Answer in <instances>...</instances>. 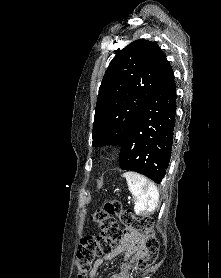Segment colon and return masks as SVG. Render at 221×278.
<instances>
[{"instance_id":"1","label":"colon","mask_w":221,"mask_h":278,"mask_svg":"<svg viewBox=\"0 0 221 278\" xmlns=\"http://www.w3.org/2000/svg\"><path fill=\"white\" fill-rule=\"evenodd\" d=\"M117 216L120 222L133 230L144 233L143 256L130 268L144 270L157 258L159 242L155 236L154 221L150 216L136 217L117 200H110L98 208L92 215V221L97 224L101 233L97 237L86 236L81 240L77 250L76 267L79 278H85L91 271L92 263L96 256L109 253L115 243L121 238Z\"/></svg>"}]
</instances>
